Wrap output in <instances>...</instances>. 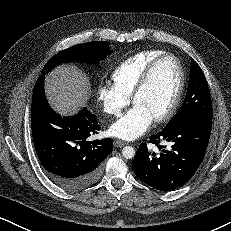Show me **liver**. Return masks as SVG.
<instances>
[{"label":"liver","instance_id":"obj_1","mask_svg":"<svg viewBox=\"0 0 231 231\" xmlns=\"http://www.w3.org/2000/svg\"><path fill=\"white\" fill-rule=\"evenodd\" d=\"M50 105L61 115L76 113L88 101L89 80L75 66L62 65L46 77Z\"/></svg>","mask_w":231,"mask_h":231}]
</instances>
